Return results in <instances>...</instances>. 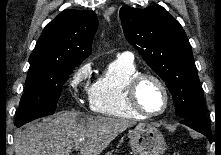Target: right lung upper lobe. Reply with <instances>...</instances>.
<instances>
[{"label":"right lung upper lobe","instance_id":"1","mask_svg":"<svg viewBox=\"0 0 221 155\" xmlns=\"http://www.w3.org/2000/svg\"><path fill=\"white\" fill-rule=\"evenodd\" d=\"M97 27L93 11L67 9L46 25L29 61L80 64L90 54Z\"/></svg>","mask_w":221,"mask_h":155}]
</instances>
